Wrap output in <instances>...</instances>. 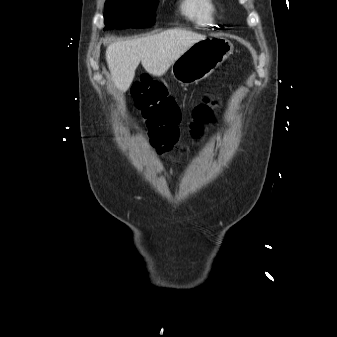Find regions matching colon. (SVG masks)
I'll return each mask as SVG.
<instances>
[{
    "label": "colon",
    "instance_id": "5ec220e1",
    "mask_svg": "<svg viewBox=\"0 0 337 337\" xmlns=\"http://www.w3.org/2000/svg\"><path fill=\"white\" fill-rule=\"evenodd\" d=\"M131 94L137 108L143 113L149 128L152 146L161 154L172 151L179 140L180 108L166 88L151 76L144 74L137 79ZM209 96L204 95L193 111L190 134L199 140L206 127L213 122Z\"/></svg>",
    "mask_w": 337,
    "mask_h": 337
}]
</instances>
